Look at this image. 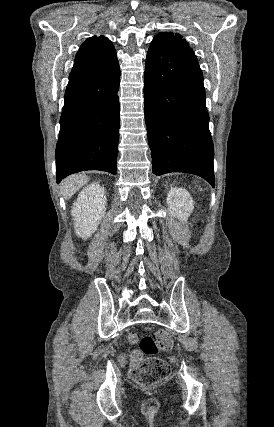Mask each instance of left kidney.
Segmentation results:
<instances>
[{"instance_id":"obj_1","label":"left kidney","mask_w":274,"mask_h":427,"mask_svg":"<svg viewBox=\"0 0 274 427\" xmlns=\"http://www.w3.org/2000/svg\"><path fill=\"white\" fill-rule=\"evenodd\" d=\"M167 206L170 214L180 221H187L194 210L193 200L184 188H171L167 194Z\"/></svg>"}]
</instances>
